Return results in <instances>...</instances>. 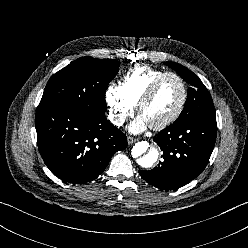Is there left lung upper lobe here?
Instances as JSON below:
<instances>
[{
	"mask_svg": "<svg viewBox=\"0 0 248 248\" xmlns=\"http://www.w3.org/2000/svg\"><path fill=\"white\" fill-rule=\"evenodd\" d=\"M164 64L174 69L189 84L184 109L174 123L178 124L199 117L215 115L211 95L201 80L189 69L178 63L164 62Z\"/></svg>",
	"mask_w": 248,
	"mask_h": 248,
	"instance_id": "left-lung-upper-lobe-1",
	"label": "left lung upper lobe"
}]
</instances>
